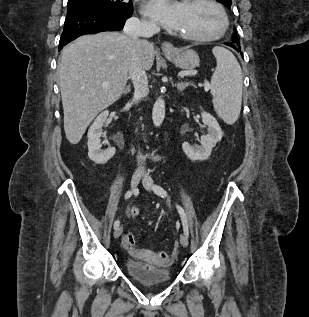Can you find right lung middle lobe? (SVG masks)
Listing matches in <instances>:
<instances>
[{"label": "right lung middle lobe", "mask_w": 309, "mask_h": 317, "mask_svg": "<svg viewBox=\"0 0 309 317\" xmlns=\"http://www.w3.org/2000/svg\"><path fill=\"white\" fill-rule=\"evenodd\" d=\"M67 6L68 8L83 7L133 13L132 2H123V0H68Z\"/></svg>", "instance_id": "dd1d6c3e"}]
</instances>
